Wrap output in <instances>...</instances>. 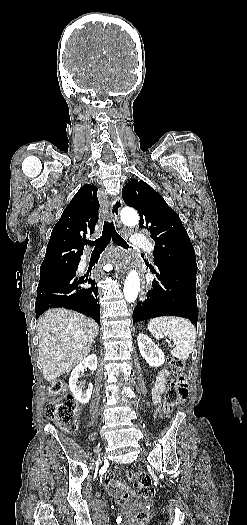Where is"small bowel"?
I'll return each instance as SVG.
<instances>
[{"label": "small bowel", "mask_w": 247, "mask_h": 525, "mask_svg": "<svg viewBox=\"0 0 247 525\" xmlns=\"http://www.w3.org/2000/svg\"><path fill=\"white\" fill-rule=\"evenodd\" d=\"M170 374H171V372L169 370H162L158 374V376L156 378L155 386H154V389H153V393H152L153 401L155 403H158L160 401L161 396H162V394L164 393V391L166 389V381H167L168 377L170 376ZM105 479H106V481H108V485L110 486L111 492H113V493L118 492L119 487L121 485L120 480L117 479V478H114L113 474H111V473L106 474ZM121 489L123 490L122 494H125V493H127L129 495L132 494V490L128 486L122 485ZM115 501L116 502H121L122 501V496L121 495H116L115 496Z\"/></svg>", "instance_id": "obj_1"}]
</instances>
